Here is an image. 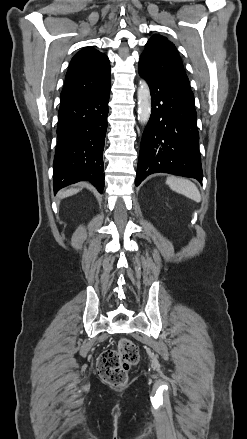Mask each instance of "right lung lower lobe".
I'll list each match as a JSON object with an SVG mask.
<instances>
[{
	"instance_id": "obj_1",
	"label": "right lung lower lobe",
	"mask_w": 247,
	"mask_h": 439,
	"mask_svg": "<svg viewBox=\"0 0 247 439\" xmlns=\"http://www.w3.org/2000/svg\"><path fill=\"white\" fill-rule=\"evenodd\" d=\"M110 83L98 91L61 101L53 163L54 193L78 181L104 188L103 149Z\"/></svg>"
}]
</instances>
